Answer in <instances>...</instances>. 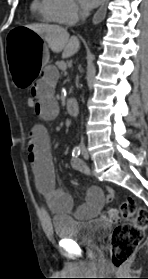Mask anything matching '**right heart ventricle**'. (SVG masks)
Instances as JSON below:
<instances>
[{"label":"right heart ventricle","instance_id":"1","mask_svg":"<svg viewBox=\"0 0 148 279\" xmlns=\"http://www.w3.org/2000/svg\"><path fill=\"white\" fill-rule=\"evenodd\" d=\"M31 8L45 22L62 23L57 14L54 0H33Z\"/></svg>","mask_w":148,"mask_h":279}]
</instances>
